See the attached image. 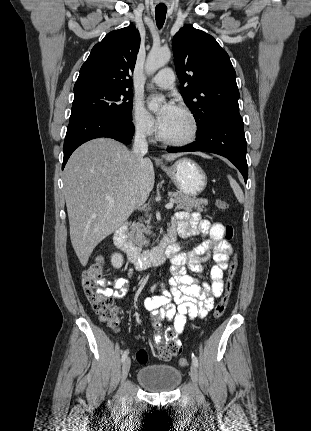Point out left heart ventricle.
I'll return each instance as SVG.
<instances>
[{"label": "left heart ventricle", "instance_id": "b2bd125f", "mask_svg": "<svg viewBox=\"0 0 311 431\" xmlns=\"http://www.w3.org/2000/svg\"><path fill=\"white\" fill-rule=\"evenodd\" d=\"M166 139H184L193 133V122L188 115L179 110L172 119L161 127Z\"/></svg>", "mask_w": 311, "mask_h": 431}]
</instances>
